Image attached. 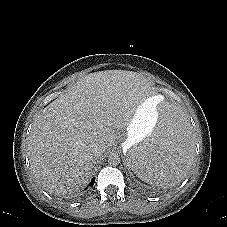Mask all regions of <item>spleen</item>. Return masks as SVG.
Returning <instances> with one entry per match:
<instances>
[{"mask_svg": "<svg viewBox=\"0 0 227 227\" xmlns=\"http://www.w3.org/2000/svg\"><path fill=\"white\" fill-rule=\"evenodd\" d=\"M157 121L141 142L125 150L128 168L141 180L168 188L183 181L194 160V135L185 111L168 96L154 102Z\"/></svg>", "mask_w": 227, "mask_h": 227, "instance_id": "3e777b00", "label": "spleen"}]
</instances>
